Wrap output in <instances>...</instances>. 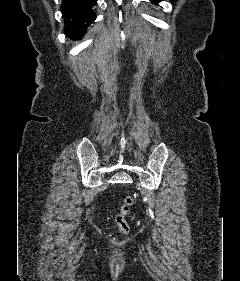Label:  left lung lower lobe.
<instances>
[{
    "mask_svg": "<svg viewBox=\"0 0 240 281\" xmlns=\"http://www.w3.org/2000/svg\"><path fill=\"white\" fill-rule=\"evenodd\" d=\"M158 1H160V0H152L153 3H156V2H158Z\"/></svg>",
    "mask_w": 240,
    "mask_h": 281,
    "instance_id": "1",
    "label": "left lung lower lobe"
}]
</instances>
